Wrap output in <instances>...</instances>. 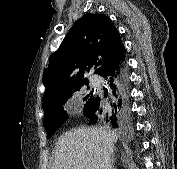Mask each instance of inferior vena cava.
Segmentation results:
<instances>
[{
  "mask_svg": "<svg viewBox=\"0 0 177 169\" xmlns=\"http://www.w3.org/2000/svg\"><path fill=\"white\" fill-rule=\"evenodd\" d=\"M100 136L103 138V157H104V169H111V153L113 151V142L109 138L107 132L102 128L99 129Z\"/></svg>",
  "mask_w": 177,
  "mask_h": 169,
  "instance_id": "obj_1",
  "label": "inferior vena cava"
}]
</instances>
